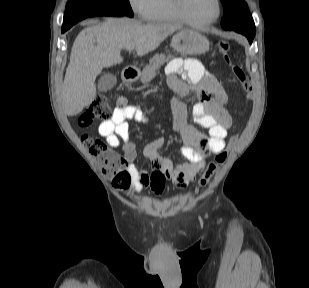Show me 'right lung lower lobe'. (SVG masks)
<instances>
[{"label": "right lung lower lobe", "instance_id": "right-lung-lower-lobe-1", "mask_svg": "<svg viewBox=\"0 0 309 288\" xmlns=\"http://www.w3.org/2000/svg\"><path fill=\"white\" fill-rule=\"evenodd\" d=\"M93 16H126V15L122 13H117V12H97V13L91 14L89 17H93ZM67 30L68 29L62 28V33H64Z\"/></svg>", "mask_w": 309, "mask_h": 288}]
</instances>
